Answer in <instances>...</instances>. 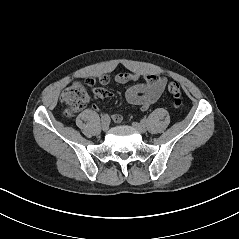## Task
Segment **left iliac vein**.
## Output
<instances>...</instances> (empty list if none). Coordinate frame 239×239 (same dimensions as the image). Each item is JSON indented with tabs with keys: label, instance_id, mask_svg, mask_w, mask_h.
Wrapping results in <instances>:
<instances>
[{
	"label": "left iliac vein",
	"instance_id": "obj_1",
	"mask_svg": "<svg viewBox=\"0 0 239 239\" xmlns=\"http://www.w3.org/2000/svg\"><path fill=\"white\" fill-rule=\"evenodd\" d=\"M132 126L140 133H145L147 131L146 126L144 124L133 122Z\"/></svg>",
	"mask_w": 239,
	"mask_h": 239
}]
</instances>
